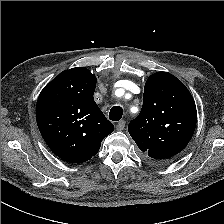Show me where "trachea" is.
Instances as JSON below:
<instances>
[{
	"label": "trachea",
	"instance_id": "trachea-1",
	"mask_svg": "<svg viewBox=\"0 0 224 224\" xmlns=\"http://www.w3.org/2000/svg\"><path fill=\"white\" fill-rule=\"evenodd\" d=\"M123 109L120 106H114L109 112V119L112 121H119L122 118Z\"/></svg>",
	"mask_w": 224,
	"mask_h": 224
}]
</instances>
